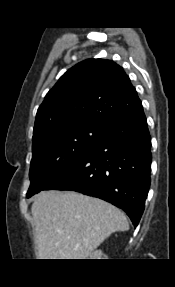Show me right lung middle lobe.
Listing matches in <instances>:
<instances>
[{
	"label": "right lung middle lobe",
	"mask_w": 175,
	"mask_h": 287,
	"mask_svg": "<svg viewBox=\"0 0 175 287\" xmlns=\"http://www.w3.org/2000/svg\"><path fill=\"white\" fill-rule=\"evenodd\" d=\"M108 127L95 122L64 125L33 140L27 197L38 193L86 155L107 133Z\"/></svg>",
	"instance_id": "1"
}]
</instances>
